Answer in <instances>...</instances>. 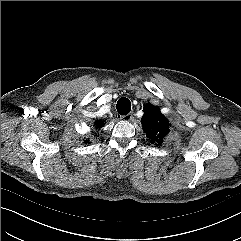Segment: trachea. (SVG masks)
<instances>
[{
	"mask_svg": "<svg viewBox=\"0 0 241 241\" xmlns=\"http://www.w3.org/2000/svg\"><path fill=\"white\" fill-rule=\"evenodd\" d=\"M116 107L120 115H126L131 111V102L128 98L122 97L117 101Z\"/></svg>",
	"mask_w": 241,
	"mask_h": 241,
	"instance_id": "3493384b",
	"label": "trachea"
}]
</instances>
